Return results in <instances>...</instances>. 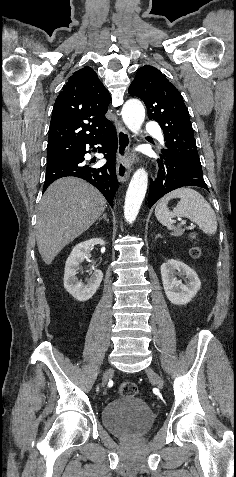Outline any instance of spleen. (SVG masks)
<instances>
[{
	"label": "spleen",
	"mask_w": 236,
	"mask_h": 477,
	"mask_svg": "<svg viewBox=\"0 0 236 477\" xmlns=\"http://www.w3.org/2000/svg\"><path fill=\"white\" fill-rule=\"evenodd\" d=\"M173 198H180V201L170 211L167 205ZM155 216L169 230L175 229L172 218L186 217L196 223L205 234L213 235L217 231V218L210 204L191 188H179L165 195L155 208Z\"/></svg>",
	"instance_id": "spleen-1"
}]
</instances>
